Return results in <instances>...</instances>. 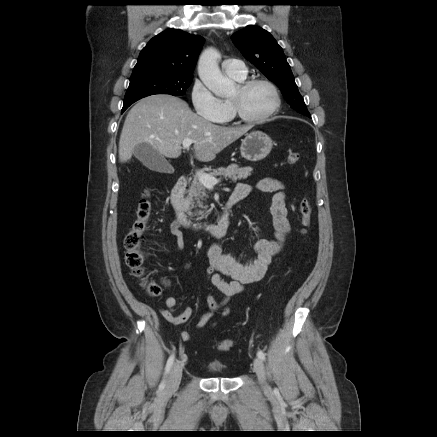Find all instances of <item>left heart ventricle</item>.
<instances>
[{
	"label": "left heart ventricle",
	"mask_w": 437,
	"mask_h": 437,
	"mask_svg": "<svg viewBox=\"0 0 437 437\" xmlns=\"http://www.w3.org/2000/svg\"><path fill=\"white\" fill-rule=\"evenodd\" d=\"M230 99L236 100L242 111L250 117L264 115L274 103L271 89L263 84L255 85L246 91H241L237 87Z\"/></svg>",
	"instance_id": "b2bd125f"
}]
</instances>
